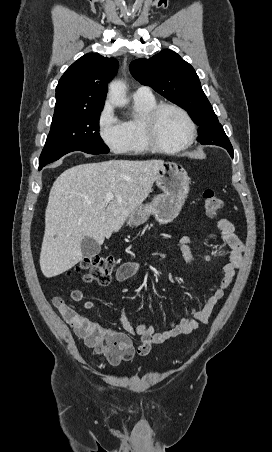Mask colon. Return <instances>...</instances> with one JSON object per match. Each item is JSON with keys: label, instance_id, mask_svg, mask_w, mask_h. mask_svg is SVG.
<instances>
[{"label": "colon", "instance_id": "obj_1", "mask_svg": "<svg viewBox=\"0 0 272 452\" xmlns=\"http://www.w3.org/2000/svg\"><path fill=\"white\" fill-rule=\"evenodd\" d=\"M202 199L206 215L214 217L222 211L223 201L213 190L204 191ZM80 267L88 269V273L84 277L87 282H96L105 286L110 283L115 262L111 256L94 255L86 258ZM52 302L61 313L70 312L71 308L61 297H54ZM97 347L103 354L104 360L110 364H119L129 359L128 349L122 347L112 336L101 337Z\"/></svg>", "mask_w": 272, "mask_h": 452}]
</instances>
